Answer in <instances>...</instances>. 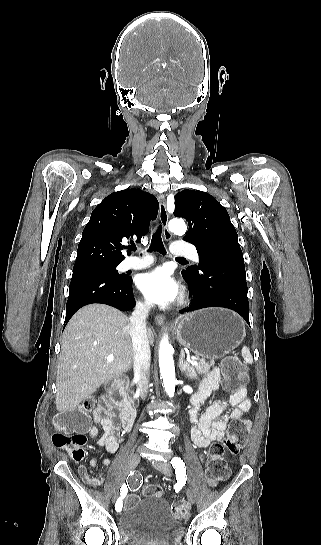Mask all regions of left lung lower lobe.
I'll use <instances>...</instances> for the list:
<instances>
[{"mask_svg": "<svg viewBox=\"0 0 321 545\" xmlns=\"http://www.w3.org/2000/svg\"><path fill=\"white\" fill-rule=\"evenodd\" d=\"M198 254L197 271L183 275L192 290L193 300L181 313L224 307L239 313L250 325L246 272L239 244L224 242Z\"/></svg>", "mask_w": 321, "mask_h": 545, "instance_id": "0a47b994", "label": "left lung lower lobe"}]
</instances>
